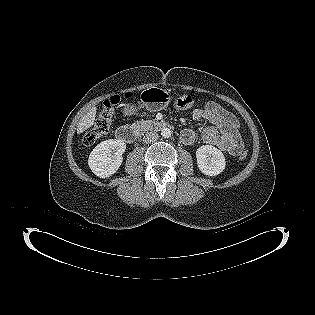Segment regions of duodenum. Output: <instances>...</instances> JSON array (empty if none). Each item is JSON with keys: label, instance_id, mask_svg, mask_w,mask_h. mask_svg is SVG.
<instances>
[{"label": "duodenum", "instance_id": "410a0bca", "mask_svg": "<svg viewBox=\"0 0 315 315\" xmlns=\"http://www.w3.org/2000/svg\"><path fill=\"white\" fill-rule=\"evenodd\" d=\"M170 125L167 122L163 121H149L144 123L140 127H133V126H121L116 130V137L127 143L134 142L139 134L140 131L146 130V131H155V130H163L169 128Z\"/></svg>", "mask_w": 315, "mask_h": 315}]
</instances>
